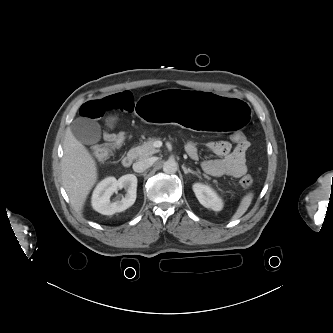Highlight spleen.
Here are the masks:
<instances>
[{
	"label": "spleen",
	"mask_w": 333,
	"mask_h": 333,
	"mask_svg": "<svg viewBox=\"0 0 333 333\" xmlns=\"http://www.w3.org/2000/svg\"><path fill=\"white\" fill-rule=\"evenodd\" d=\"M253 196L254 194L252 192H248L246 195L243 196L240 201L239 207L237 208L235 214L232 217L233 220L239 219L242 215L245 214L253 200Z\"/></svg>",
	"instance_id": "1"
}]
</instances>
